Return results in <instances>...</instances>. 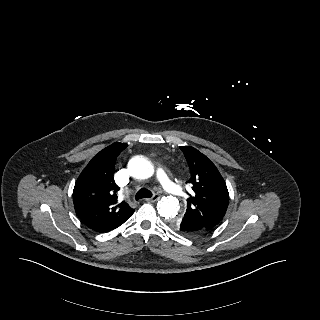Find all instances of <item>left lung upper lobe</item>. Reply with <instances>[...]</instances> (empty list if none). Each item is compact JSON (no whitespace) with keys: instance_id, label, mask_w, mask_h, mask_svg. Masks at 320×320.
<instances>
[{"instance_id":"1","label":"left lung upper lobe","mask_w":320,"mask_h":320,"mask_svg":"<svg viewBox=\"0 0 320 320\" xmlns=\"http://www.w3.org/2000/svg\"><path fill=\"white\" fill-rule=\"evenodd\" d=\"M180 149L190 168L188 182L193 190L187 199L183 218H190L200 227L211 230L222 220L228 207L226 183L216 166L200 151L191 146H181ZM179 220L172 222L174 228H178Z\"/></svg>"}]
</instances>
